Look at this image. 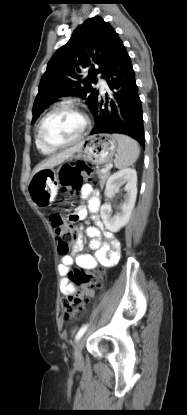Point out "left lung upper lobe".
I'll return each mask as SVG.
<instances>
[{
  "instance_id": "1",
  "label": "left lung upper lobe",
  "mask_w": 187,
  "mask_h": 415,
  "mask_svg": "<svg viewBox=\"0 0 187 415\" xmlns=\"http://www.w3.org/2000/svg\"><path fill=\"white\" fill-rule=\"evenodd\" d=\"M117 37L112 26L100 16L76 28L70 40L48 62L33 105L32 123L47 106L63 96H80L93 111L100 94L92 84L97 82L96 75L104 72ZM83 71H88V75H82Z\"/></svg>"
}]
</instances>
